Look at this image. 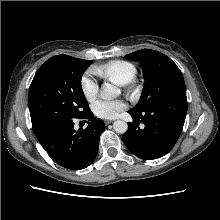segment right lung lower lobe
I'll use <instances>...</instances> for the list:
<instances>
[{"label":"right lung lower lobe","mask_w":220,"mask_h":220,"mask_svg":"<svg viewBox=\"0 0 220 220\" xmlns=\"http://www.w3.org/2000/svg\"><path fill=\"white\" fill-rule=\"evenodd\" d=\"M75 118L88 119V127L76 131ZM75 118L61 120L35 135L53 161L67 169L80 170L94 161L105 125L90 110Z\"/></svg>","instance_id":"right-lung-lower-lobe-1"}]
</instances>
